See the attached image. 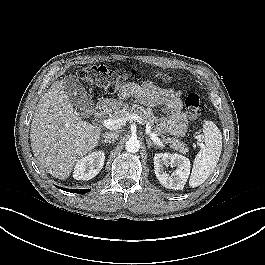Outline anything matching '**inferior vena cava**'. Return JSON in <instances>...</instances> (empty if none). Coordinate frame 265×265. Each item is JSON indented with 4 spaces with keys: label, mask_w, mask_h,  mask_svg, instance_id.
Returning a JSON list of instances; mask_svg holds the SVG:
<instances>
[{
    "label": "inferior vena cava",
    "mask_w": 265,
    "mask_h": 265,
    "mask_svg": "<svg viewBox=\"0 0 265 265\" xmlns=\"http://www.w3.org/2000/svg\"><path fill=\"white\" fill-rule=\"evenodd\" d=\"M103 137L106 139V140H116L118 137H119V134L116 133V132H105L103 134Z\"/></svg>",
    "instance_id": "602c4592"
}]
</instances>
